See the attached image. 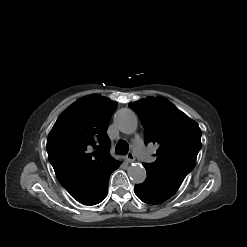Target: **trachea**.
Segmentation results:
<instances>
[{
  "mask_svg": "<svg viewBox=\"0 0 247 247\" xmlns=\"http://www.w3.org/2000/svg\"><path fill=\"white\" fill-rule=\"evenodd\" d=\"M129 146L128 143L124 140H120L116 145V153L120 155H124L128 152Z\"/></svg>",
  "mask_w": 247,
  "mask_h": 247,
  "instance_id": "1",
  "label": "trachea"
}]
</instances>
